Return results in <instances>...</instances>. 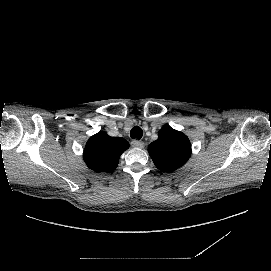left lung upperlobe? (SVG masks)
<instances>
[{"label": "left lung upper lobe", "instance_id": "1", "mask_svg": "<svg viewBox=\"0 0 271 271\" xmlns=\"http://www.w3.org/2000/svg\"><path fill=\"white\" fill-rule=\"evenodd\" d=\"M148 152L159 170L173 172L189 159L191 144L182 132L164 126L158 133V139L149 145Z\"/></svg>", "mask_w": 271, "mask_h": 271}]
</instances>
